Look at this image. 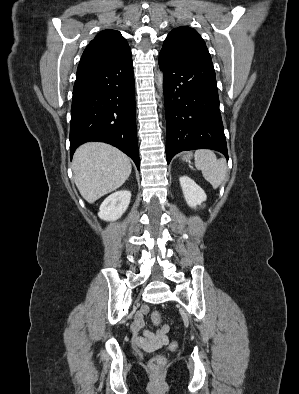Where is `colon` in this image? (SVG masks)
Instances as JSON below:
<instances>
[{"mask_svg": "<svg viewBox=\"0 0 299 394\" xmlns=\"http://www.w3.org/2000/svg\"><path fill=\"white\" fill-rule=\"evenodd\" d=\"M153 317H154V320L158 322L159 313L154 312ZM170 347L172 349H175L177 347V344L175 342H173V343H171ZM165 362H166V359L164 356L156 355L150 359L148 366L152 371H158L159 369H161L164 366Z\"/></svg>", "mask_w": 299, "mask_h": 394, "instance_id": "5ec220e1", "label": "colon"}]
</instances>
